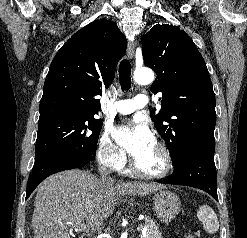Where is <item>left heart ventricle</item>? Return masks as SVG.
Wrapping results in <instances>:
<instances>
[{"instance_id":"obj_1","label":"left heart ventricle","mask_w":247,"mask_h":238,"mask_svg":"<svg viewBox=\"0 0 247 238\" xmlns=\"http://www.w3.org/2000/svg\"><path fill=\"white\" fill-rule=\"evenodd\" d=\"M134 160L140 169L150 173L160 171L163 166L161 153L159 152L155 144L144 151Z\"/></svg>"}]
</instances>
